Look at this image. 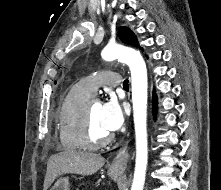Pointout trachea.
Wrapping results in <instances>:
<instances>
[{
	"label": "trachea",
	"mask_w": 221,
	"mask_h": 190,
	"mask_svg": "<svg viewBox=\"0 0 221 190\" xmlns=\"http://www.w3.org/2000/svg\"><path fill=\"white\" fill-rule=\"evenodd\" d=\"M123 87H124L125 89H129V81H128V80H125V81H124Z\"/></svg>",
	"instance_id": "1"
}]
</instances>
